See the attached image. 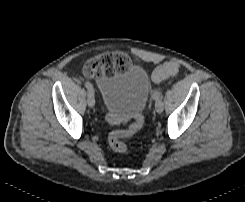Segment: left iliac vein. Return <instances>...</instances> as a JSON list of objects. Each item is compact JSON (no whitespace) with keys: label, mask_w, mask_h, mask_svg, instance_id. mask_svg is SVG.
<instances>
[{"label":"left iliac vein","mask_w":245,"mask_h":202,"mask_svg":"<svg viewBox=\"0 0 245 202\" xmlns=\"http://www.w3.org/2000/svg\"><path fill=\"white\" fill-rule=\"evenodd\" d=\"M155 110L157 113H162L163 110H164V103L162 102V100L158 101L156 104H155Z\"/></svg>","instance_id":"1"}]
</instances>
